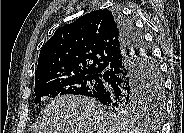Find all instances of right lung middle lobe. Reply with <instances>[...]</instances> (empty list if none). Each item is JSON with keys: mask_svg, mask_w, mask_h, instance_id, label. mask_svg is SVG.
I'll use <instances>...</instances> for the list:
<instances>
[{"mask_svg": "<svg viewBox=\"0 0 184 133\" xmlns=\"http://www.w3.org/2000/svg\"><path fill=\"white\" fill-rule=\"evenodd\" d=\"M137 30V29H136ZM142 36V34L137 30ZM149 50V48L146 46ZM149 61L150 81L142 100H122L110 106L111 110L121 114H135L142 111L153 112L155 115H161L163 111L164 93L163 81L160 75L159 65L154 55L147 52ZM102 75H88L81 77H68L55 79L34 88L37 95L35 104L41 102V97L48 96L54 98L58 95L74 94L95 97L102 93L104 85Z\"/></svg>", "mask_w": 184, "mask_h": 133, "instance_id": "obj_1", "label": "right lung middle lobe"}]
</instances>
